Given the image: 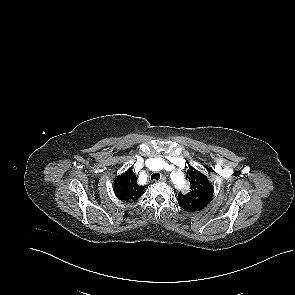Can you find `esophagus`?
Instances as JSON below:
<instances>
[{
	"label": "esophagus",
	"mask_w": 295,
	"mask_h": 295,
	"mask_svg": "<svg viewBox=\"0 0 295 295\" xmlns=\"http://www.w3.org/2000/svg\"><path fill=\"white\" fill-rule=\"evenodd\" d=\"M166 181V177L162 176L158 182L164 183Z\"/></svg>",
	"instance_id": "obj_1"
}]
</instances>
